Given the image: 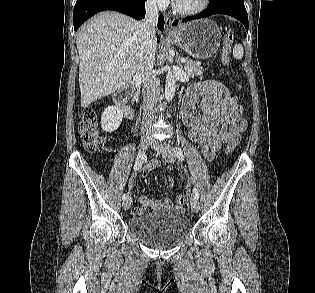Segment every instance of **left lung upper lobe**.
Instances as JSON below:
<instances>
[{
	"label": "left lung upper lobe",
	"instance_id": "left-lung-upper-lobe-1",
	"mask_svg": "<svg viewBox=\"0 0 315 293\" xmlns=\"http://www.w3.org/2000/svg\"><path fill=\"white\" fill-rule=\"evenodd\" d=\"M216 1H218V0H210V4H212V3L216 2Z\"/></svg>",
	"mask_w": 315,
	"mask_h": 293
}]
</instances>
